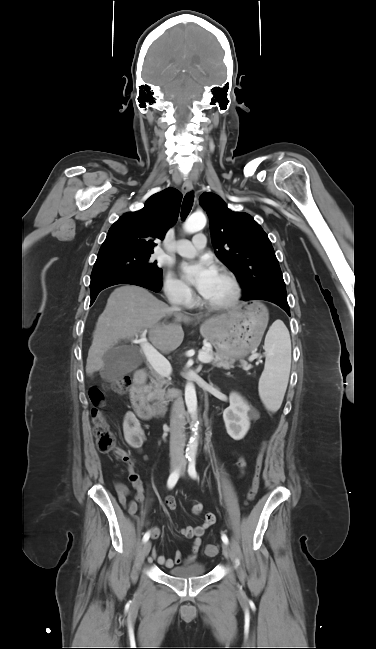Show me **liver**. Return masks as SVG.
Listing matches in <instances>:
<instances>
[{"label":"liver","mask_w":376,"mask_h":649,"mask_svg":"<svg viewBox=\"0 0 376 649\" xmlns=\"http://www.w3.org/2000/svg\"><path fill=\"white\" fill-rule=\"evenodd\" d=\"M172 315L175 323H159L162 318ZM181 321L189 322L190 317L168 307L146 289L132 285L116 288L96 323L86 373L92 375L104 366V354L118 340H131L147 329L155 348L167 354L174 351L184 338Z\"/></svg>","instance_id":"1"}]
</instances>
